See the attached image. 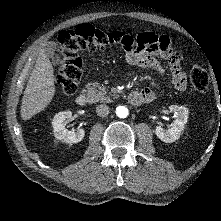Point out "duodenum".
Returning <instances> with one entry per match:
<instances>
[{
    "label": "duodenum",
    "mask_w": 221,
    "mask_h": 221,
    "mask_svg": "<svg viewBox=\"0 0 221 221\" xmlns=\"http://www.w3.org/2000/svg\"><path fill=\"white\" fill-rule=\"evenodd\" d=\"M128 100L131 104L133 105H140L146 102L145 97L137 91L131 92L128 95ZM89 101V97L87 95V93L85 92H81L77 97H76V103L79 106H85L88 104Z\"/></svg>",
    "instance_id": "duodenum-1"
}]
</instances>
